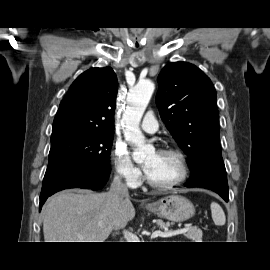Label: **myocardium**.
Segmentation results:
<instances>
[{
	"label": "myocardium",
	"instance_id": "myocardium-1",
	"mask_svg": "<svg viewBox=\"0 0 270 270\" xmlns=\"http://www.w3.org/2000/svg\"><path fill=\"white\" fill-rule=\"evenodd\" d=\"M160 153L173 155L178 159L179 165H180V175L178 176V178H176L175 180L171 182L156 183L152 181L146 173L145 180L147 184L156 190H162V191L170 190L183 184L189 175V165H188V161L185 154L181 150L176 149V148H165V149H162Z\"/></svg>",
	"mask_w": 270,
	"mask_h": 270
}]
</instances>
